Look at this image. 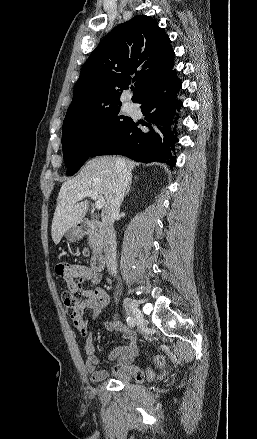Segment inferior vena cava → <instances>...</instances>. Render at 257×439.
I'll return each instance as SVG.
<instances>
[{
  "label": "inferior vena cava",
  "mask_w": 257,
  "mask_h": 439,
  "mask_svg": "<svg viewBox=\"0 0 257 439\" xmlns=\"http://www.w3.org/2000/svg\"><path fill=\"white\" fill-rule=\"evenodd\" d=\"M117 179L109 195L107 203L102 211V223L104 228V254L107 270L115 275L116 262V234L113 228L114 221L119 214L125 190L131 181V171L128 170L123 159L117 160Z\"/></svg>",
  "instance_id": "obj_1"
}]
</instances>
